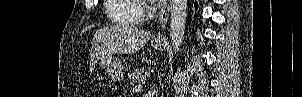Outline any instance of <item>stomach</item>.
Segmentation results:
<instances>
[{"label":"stomach","mask_w":302,"mask_h":97,"mask_svg":"<svg viewBox=\"0 0 302 97\" xmlns=\"http://www.w3.org/2000/svg\"><path fill=\"white\" fill-rule=\"evenodd\" d=\"M153 47L156 50H163L164 44L153 42ZM97 62L99 67L105 70V72L113 81H120L122 79L124 67L122 62L114 55L107 54L101 57Z\"/></svg>","instance_id":"stomach-1"}]
</instances>
